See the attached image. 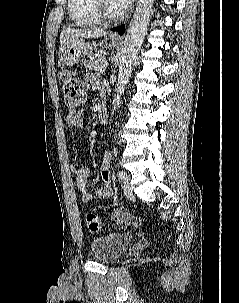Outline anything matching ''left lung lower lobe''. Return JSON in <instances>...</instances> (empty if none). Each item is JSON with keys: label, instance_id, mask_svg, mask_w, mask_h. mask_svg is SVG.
<instances>
[{"label": "left lung lower lobe", "instance_id": "obj_1", "mask_svg": "<svg viewBox=\"0 0 239 303\" xmlns=\"http://www.w3.org/2000/svg\"><path fill=\"white\" fill-rule=\"evenodd\" d=\"M112 31H117L120 35H122L124 33V30H125V26L122 25V26H119V27H116V28H113L111 29Z\"/></svg>", "mask_w": 239, "mask_h": 303}]
</instances>
